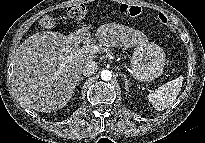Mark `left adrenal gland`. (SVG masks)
<instances>
[{"label":"left adrenal gland","instance_id":"obj_1","mask_svg":"<svg viewBox=\"0 0 205 143\" xmlns=\"http://www.w3.org/2000/svg\"><path fill=\"white\" fill-rule=\"evenodd\" d=\"M120 76L124 79L125 81V90L129 91V86H130V81L127 79V76L125 74H120Z\"/></svg>","mask_w":205,"mask_h":143}]
</instances>
